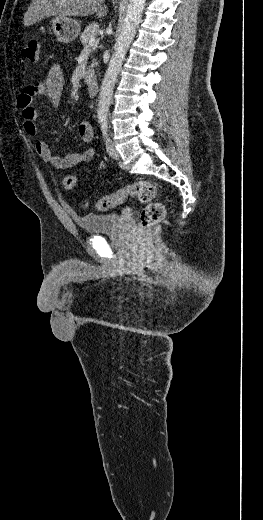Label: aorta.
<instances>
[{"label":"aorta","mask_w":263,"mask_h":520,"mask_svg":"<svg viewBox=\"0 0 263 520\" xmlns=\"http://www.w3.org/2000/svg\"><path fill=\"white\" fill-rule=\"evenodd\" d=\"M145 1L146 0H129L127 14L116 42L115 51L102 81L98 97L97 115L100 121H106L107 119L116 79L128 48L134 39L137 26L140 23Z\"/></svg>","instance_id":"aorta-1"}]
</instances>
